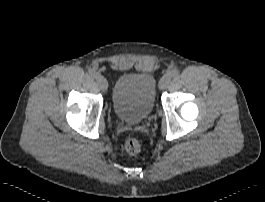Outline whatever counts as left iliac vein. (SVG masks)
<instances>
[{
	"instance_id": "4c4485c4",
	"label": "left iliac vein",
	"mask_w": 265,
	"mask_h": 202,
	"mask_svg": "<svg viewBox=\"0 0 265 202\" xmlns=\"http://www.w3.org/2000/svg\"><path fill=\"white\" fill-rule=\"evenodd\" d=\"M171 78H172L171 74H166V75H164V76L161 78L160 82H159V88H160L161 90H165V89H167V88L169 87V85H170Z\"/></svg>"
}]
</instances>
